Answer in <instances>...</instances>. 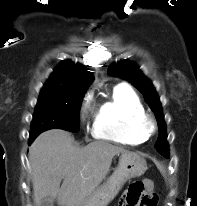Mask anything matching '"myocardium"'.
<instances>
[{
	"label": "myocardium",
	"instance_id": "myocardium-1",
	"mask_svg": "<svg viewBox=\"0 0 197 206\" xmlns=\"http://www.w3.org/2000/svg\"><path fill=\"white\" fill-rule=\"evenodd\" d=\"M140 130L143 132L147 137L152 135L156 130V123L154 119L150 116L145 114L140 119Z\"/></svg>",
	"mask_w": 197,
	"mask_h": 206
}]
</instances>
